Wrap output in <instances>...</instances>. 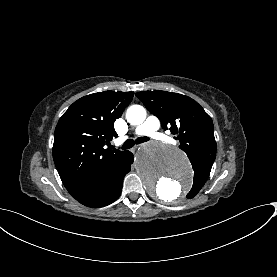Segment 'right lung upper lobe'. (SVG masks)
Wrapping results in <instances>:
<instances>
[{
	"instance_id": "1",
	"label": "right lung upper lobe",
	"mask_w": 277,
	"mask_h": 277,
	"mask_svg": "<svg viewBox=\"0 0 277 277\" xmlns=\"http://www.w3.org/2000/svg\"><path fill=\"white\" fill-rule=\"evenodd\" d=\"M133 92L104 91L75 101L55 129L53 159L71 194L100 174L126 151L106 149L117 137L114 121L132 101Z\"/></svg>"
}]
</instances>
